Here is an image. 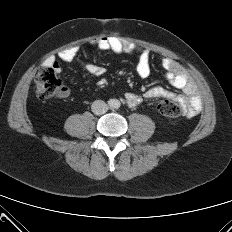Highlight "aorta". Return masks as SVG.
I'll use <instances>...</instances> for the list:
<instances>
[{
	"label": "aorta",
	"mask_w": 232,
	"mask_h": 232,
	"mask_svg": "<svg viewBox=\"0 0 232 232\" xmlns=\"http://www.w3.org/2000/svg\"><path fill=\"white\" fill-rule=\"evenodd\" d=\"M111 106L114 108H118L120 106L119 100H112Z\"/></svg>",
	"instance_id": "obj_1"
}]
</instances>
